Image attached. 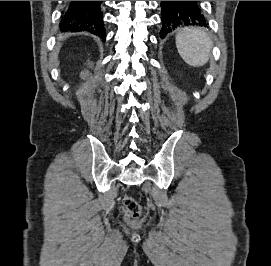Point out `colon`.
Here are the masks:
<instances>
[{
  "label": "colon",
  "instance_id": "1",
  "mask_svg": "<svg viewBox=\"0 0 271 266\" xmlns=\"http://www.w3.org/2000/svg\"><path fill=\"white\" fill-rule=\"evenodd\" d=\"M122 205L125 212L133 222H137L140 219L142 208L133 197L125 195L122 200Z\"/></svg>",
  "mask_w": 271,
  "mask_h": 266
}]
</instances>
